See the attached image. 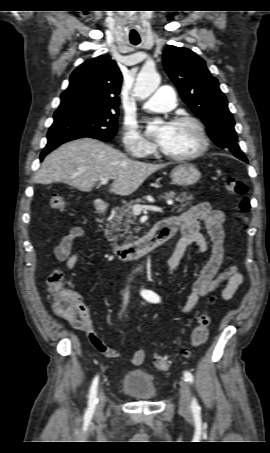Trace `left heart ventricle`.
Listing matches in <instances>:
<instances>
[{"mask_svg": "<svg viewBox=\"0 0 270 453\" xmlns=\"http://www.w3.org/2000/svg\"><path fill=\"white\" fill-rule=\"evenodd\" d=\"M170 135L162 150L172 155H183L194 152L200 146L199 136L190 124H170Z\"/></svg>", "mask_w": 270, "mask_h": 453, "instance_id": "1", "label": "left heart ventricle"}]
</instances>
